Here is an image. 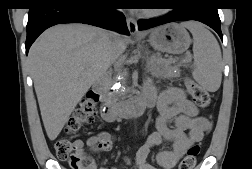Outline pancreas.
Listing matches in <instances>:
<instances>
[{
    "label": "pancreas",
    "mask_w": 252,
    "mask_h": 169,
    "mask_svg": "<svg viewBox=\"0 0 252 169\" xmlns=\"http://www.w3.org/2000/svg\"><path fill=\"white\" fill-rule=\"evenodd\" d=\"M175 63V60L173 59H168V60H164L161 57H154L150 60V62L148 63L149 68L151 73L154 76H161L164 78H173V77H177L180 75V66H182V63H178L175 65H172ZM121 74H124V72H122ZM128 93H129V89H127L124 93H122V97L121 99L124 100L128 97ZM115 101H119L118 97H114Z\"/></svg>",
    "instance_id": "obj_1"
}]
</instances>
